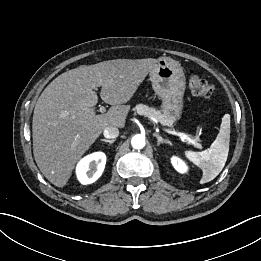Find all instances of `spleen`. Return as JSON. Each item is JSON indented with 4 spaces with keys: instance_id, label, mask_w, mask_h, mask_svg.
Returning a JSON list of instances; mask_svg holds the SVG:
<instances>
[{
    "instance_id": "3e777b00",
    "label": "spleen",
    "mask_w": 261,
    "mask_h": 261,
    "mask_svg": "<svg viewBox=\"0 0 261 261\" xmlns=\"http://www.w3.org/2000/svg\"><path fill=\"white\" fill-rule=\"evenodd\" d=\"M230 142V116L222 119L220 131L210 149L202 152L187 150L185 156L203 171L200 184L212 181L225 166L229 152Z\"/></svg>"
}]
</instances>
